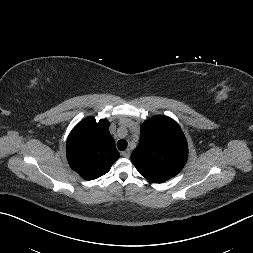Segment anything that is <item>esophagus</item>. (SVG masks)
Masks as SVG:
<instances>
[{
  "mask_svg": "<svg viewBox=\"0 0 253 253\" xmlns=\"http://www.w3.org/2000/svg\"><path fill=\"white\" fill-rule=\"evenodd\" d=\"M121 155L125 158H129L130 157V151L129 150H125L123 152H121Z\"/></svg>",
  "mask_w": 253,
  "mask_h": 253,
  "instance_id": "1",
  "label": "esophagus"
}]
</instances>
